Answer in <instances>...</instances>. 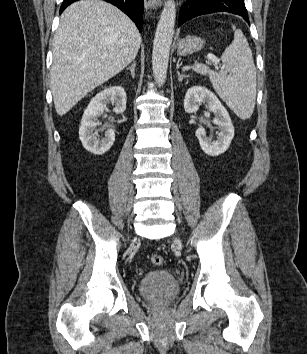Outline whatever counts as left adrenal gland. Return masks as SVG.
Listing matches in <instances>:
<instances>
[{"label": "left adrenal gland", "mask_w": 307, "mask_h": 354, "mask_svg": "<svg viewBox=\"0 0 307 354\" xmlns=\"http://www.w3.org/2000/svg\"><path fill=\"white\" fill-rule=\"evenodd\" d=\"M177 75H178V81L182 82L184 78H188L189 76L187 75H181L179 71H177Z\"/></svg>", "instance_id": "obj_1"}]
</instances>
